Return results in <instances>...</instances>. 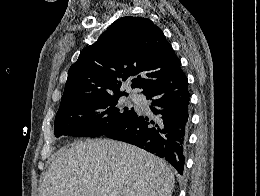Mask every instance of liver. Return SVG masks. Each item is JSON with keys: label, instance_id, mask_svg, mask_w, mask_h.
I'll return each instance as SVG.
<instances>
[{"label": "liver", "instance_id": "liver-1", "mask_svg": "<svg viewBox=\"0 0 260 196\" xmlns=\"http://www.w3.org/2000/svg\"><path fill=\"white\" fill-rule=\"evenodd\" d=\"M174 186L161 158L125 142L88 140L55 154L39 196H172Z\"/></svg>", "mask_w": 260, "mask_h": 196}]
</instances>
